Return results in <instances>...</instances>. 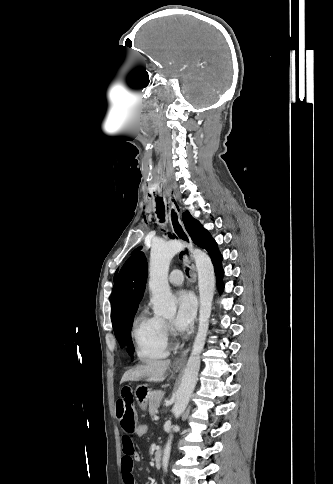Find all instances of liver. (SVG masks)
<instances>
[{"mask_svg": "<svg viewBox=\"0 0 333 484\" xmlns=\"http://www.w3.org/2000/svg\"><path fill=\"white\" fill-rule=\"evenodd\" d=\"M170 364V360H160L136 366L123 374L121 383L136 381L141 378H146L148 381L162 382L165 380V373L169 369Z\"/></svg>", "mask_w": 333, "mask_h": 484, "instance_id": "6515ba94", "label": "liver"}]
</instances>
